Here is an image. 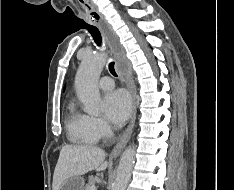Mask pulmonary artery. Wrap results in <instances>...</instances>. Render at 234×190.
Masks as SVG:
<instances>
[{
    "label": "pulmonary artery",
    "instance_id": "obj_1",
    "mask_svg": "<svg viewBox=\"0 0 234 190\" xmlns=\"http://www.w3.org/2000/svg\"><path fill=\"white\" fill-rule=\"evenodd\" d=\"M99 87L104 90L108 91L111 90L114 87V82L111 77L104 76L99 80Z\"/></svg>",
    "mask_w": 234,
    "mask_h": 190
}]
</instances>
